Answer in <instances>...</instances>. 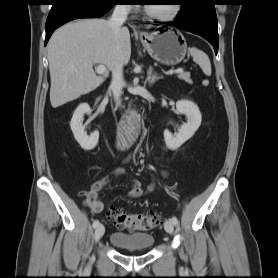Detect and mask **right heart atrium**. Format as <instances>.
I'll list each match as a JSON object with an SVG mask.
<instances>
[{
  "label": "right heart atrium",
  "instance_id": "obj_1",
  "mask_svg": "<svg viewBox=\"0 0 278 278\" xmlns=\"http://www.w3.org/2000/svg\"><path fill=\"white\" fill-rule=\"evenodd\" d=\"M124 7H125V9H127V10H131V9L133 8L132 5H124Z\"/></svg>",
  "mask_w": 278,
  "mask_h": 278
}]
</instances>
